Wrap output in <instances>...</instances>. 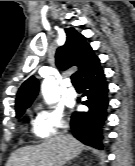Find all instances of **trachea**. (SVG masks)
Returning a JSON list of instances; mask_svg holds the SVG:
<instances>
[{
    "label": "trachea",
    "mask_w": 135,
    "mask_h": 166,
    "mask_svg": "<svg viewBox=\"0 0 135 166\" xmlns=\"http://www.w3.org/2000/svg\"><path fill=\"white\" fill-rule=\"evenodd\" d=\"M71 81H72L73 85H80V82L78 81V77L76 74H73L71 76Z\"/></svg>",
    "instance_id": "obj_1"
}]
</instances>
